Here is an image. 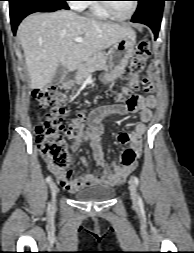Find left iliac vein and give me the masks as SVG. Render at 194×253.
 Returning <instances> with one entry per match:
<instances>
[{
  "mask_svg": "<svg viewBox=\"0 0 194 253\" xmlns=\"http://www.w3.org/2000/svg\"><path fill=\"white\" fill-rule=\"evenodd\" d=\"M130 196H131V200L133 202L134 205L137 204V192H136V186L133 182H130Z\"/></svg>",
  "mask_w": 194,
  "mask_h": 253,
  "instance_id": "1",
  "label": "left iliac vein"
}]
</instances>
